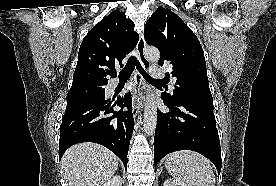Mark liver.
<instances>
[{
    "label": "liver",
    "instance_id": "6515ba94",
    "mask_svg": "<svg viewBox=\"0 0 276 186\" xmlns=\"http://www.w3.org/2000/svg\"><path fill=\"white\" fill-rule=\"evenodd\" d=\"M117 168L118 157L106 147L91 142L73 145L61 159L66 186H102Z\"/></svg>",
    "mask_w": 276,
    "mask_h": 186
}]
</instances>
